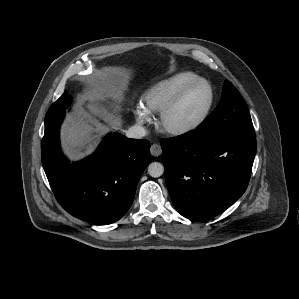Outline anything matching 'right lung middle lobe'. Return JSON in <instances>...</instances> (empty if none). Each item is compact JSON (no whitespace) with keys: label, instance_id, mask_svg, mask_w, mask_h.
Listing matches in <instances>:
<instances>
[{"label":"right lung middle lobe","instance_id":"obj_1","mask_svg":"<svg viewBox=\"0 0 299 299\" xmlns=\"http://www.w3.org/2000/svg\"><path fill=\"white\" fill-rule=\"evenodd\" d=\"M71 100V96L67 95V91H65L64 94L55 103L51 105L49 111L65 110L69 107Z\"/></svg>","mask_w":299,"mask_h":299}]
</instances>
